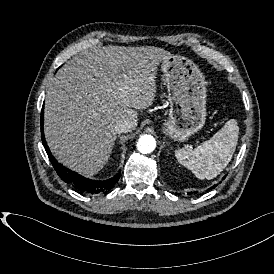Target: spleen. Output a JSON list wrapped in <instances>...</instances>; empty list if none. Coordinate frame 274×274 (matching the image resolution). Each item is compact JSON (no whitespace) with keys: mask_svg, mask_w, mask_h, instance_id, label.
I'll use <instances>...</instances> for the list:
<instances>
[{"mask_svg":"<svg viewBox=\"0 0 274 274\" xmlns=\"http://www.w3.org/2000/svg\"><path fill=\"white\" fill-rule=\"evenodd\" d=\"M239 127L230 119L208 141L192 149L175 151L177 160L199 179L215 178L231 161L238 142Z\"/></svg>","mask_w":274,"mask_h":274,"instance_id":"obj_1","label":"spleen"}]
</instances>
